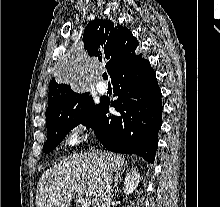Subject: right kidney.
Wrapping results in <instances>:
<instances>
[{
  "mask_svg": "<svg viewBox=\"0 0 220 207\" xmlns=\"http://www.w3.org/2000/svg\"><path fill=\"white\" fill-rule=\"evenodd\" d=\"M140 181V174L133 170L132 172H129L124 180V187L123 190L125 194H132V192L136 189Z\"/></svg>",
  "mask_w": 220,
  "mask_h": 207,
  "instance_id": "1",
  "label": "right kidney"
}]
</instances>
